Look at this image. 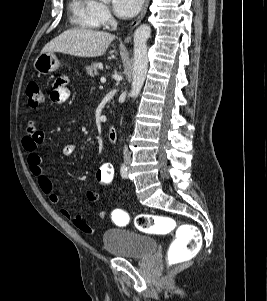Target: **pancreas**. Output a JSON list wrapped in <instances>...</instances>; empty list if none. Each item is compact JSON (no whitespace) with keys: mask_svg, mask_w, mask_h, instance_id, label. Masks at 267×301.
<instances>
[{"mask_svg":"<svg viewBox=\"0 0 267 301\" xmlns=\"http://www.w3.org/2000/svg\"><path fill=\"white\" fill-rule=\"evenodd\" d=\"M101 66H102L101 63L93 62L85 67V71L90 77H94L98 74V70L100 69Z\"/></svg>","mask_w":267,"mask_h":301,"instance_id":"obj_1","label":"pancreas"}]
</instances>
